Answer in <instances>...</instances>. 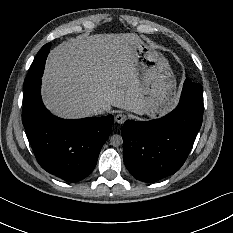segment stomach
Here are the masks:
<instances>
[{
    "instance_id": "stomach-1",
    "label": "stomach",
    "mask_w": 233,
    "mask_h": 233,
    "mask_svg": "<svg viewBox=\"0 0 233 233\" xmlns=\"http://www.w3.org/2000/svg\"><path fill=\"white\" fill-rule=\"evenodd\" d=\"M130 59L138 72L147 115L169 112L177 100L176 81L168 61L138 37L129 42Z\"/></svg>"
}]
</instances>
